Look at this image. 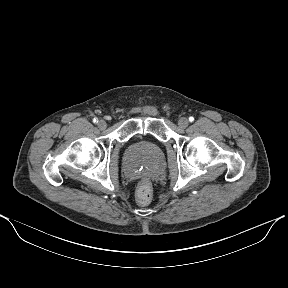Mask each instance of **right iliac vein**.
<instances>
[{
  "label": "right iliac vein",
  "instance_id": "obj_1",
  "mask_svg": "<svg viewBox=\"0 0 288 288\" xmlns=\"http://www.w3.org/2000/svg\"><path fill=\"white\" fill-rule=\"evenodd\" d=\"M97 125H98V128L101 130H103L107 127V123L104 120H100Z\"/></svg>",
  "mask_w": 288,
  "mask_h": 288
}]
</instances>
